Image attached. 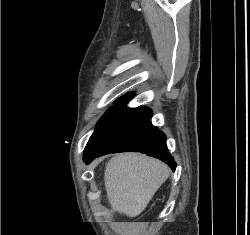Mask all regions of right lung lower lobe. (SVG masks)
I'll list each match as a JSON object with an SVG mask.
<instances>
[{"label": "right lung lower lobe", "instance_id": "1", "mask_svg": "<svg viewBox=\"0 0 250 235\" xmlns=\"http://www.w3.org/2000/svg\"><path fill=\"white\" fill-rule=\"evenodd\" d=\"M148 107L126 108L124 105L99 125L84 151V160L116 152H141L158 158L174 171L176 162L166 146V136L151 124Z\"/></svg>", "mask_w": 250, "mask_h": 235}]
</instances>
